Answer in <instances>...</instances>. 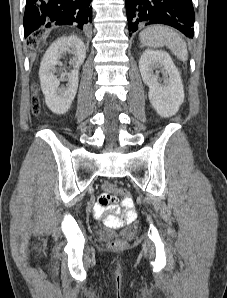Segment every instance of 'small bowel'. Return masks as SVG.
<instances>
[{
  "label": "small bowel",
  "instance_id": "obj_1",
  "mask_svg": "<svg viewBox=\"0 0 227 298\" xmlns=\"http://www.w3.org/2000/svg\"><path fill=\"white\" fill-rule=\"evenodd\" d=\"M115 210L117 212L118 211V208L116 207ZM93 211H94V214H95V216L97 218H100V217H102V216L105 215V211L101 208L99 202H96L95 203V205L93 207ZM134 216H135V212H134L133 208H127V212H126V216H125L124 222L131 221L134 218Z\"/></svg>",
  "mask_w": 227,
  "mask_h": 298
}]
</instances>
